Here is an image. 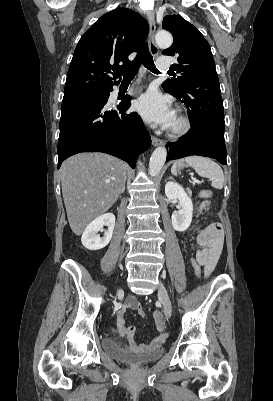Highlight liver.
I'll list each match as a JSON object with an SVG mask.
<instances>
[{"instance_id":"6515ba94","label":"liver","mask_w":273,"mask_h":401,"mask_svg":"<svg viewBox=\"0 0 273 401\" xmlns=\"http://www.w3.org/2000/svg\"><path fill=\"white\" fill-rule=\"evenodd\" d=\"M126 172V162L103 152H80L62 162V194L75 235L116 203L125 190Z\"/></svg>"}]
</instances>
